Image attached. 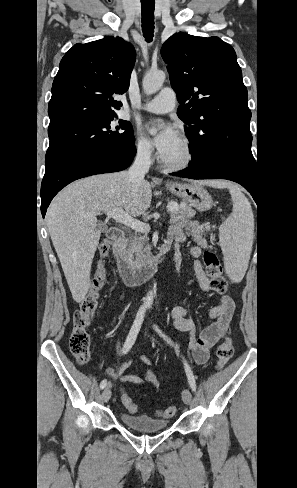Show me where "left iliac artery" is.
Wrapping results in <instances>:
<instances>
[{"mask_svg": "<svg viewBox=\"0 0 297 488\" xmlns=\"http://www.w3.org/2000/svg\"><path fill=\"white\" fill-rule=\"evenodd\" d=\"M154 328H155V330L158 332V334L161 337H163L170 345L173 346L172 341L165 334H163L162 331L157 326H154ZM175 349H176L177 352H179L178 349H177V346H175ZM184 368H185L186 375L188 377V381H189L190 387H191L192 391H195L196 390L195 378H194L193 373L191 371V368L189 367V365L186 362V360H184Z\"/></svg>", "mask_w": 297, "mask_h": 488, "instance_id": "left-iliac-artery-1", "label": "left iliac artery"}]
</instances>
